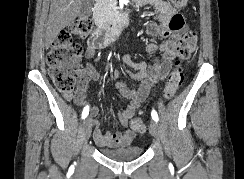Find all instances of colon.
<instances>
[{"instance_id": "5ec220e1", "label": "colon", "mask_w": 244, "mask_h": 179, "mask_svg": "<svg viewBox=\"0 0 244 179\" xmlns=\"http://www.w3.org/2000/svg\"><path fill=\"white\" fill-rule=\"evenodd\" d=\"M177 3L178 8L185 6L184 0H171ZM93 29V22L89 19H81L70 26V30L81 35H88ZM68 30L62 31L54 40L48 55L47 63L48 72L54 82L57 90L70 94L76 89L77 78L76 72L80 67V56L82 48L80 45L71 41L72 32ZM198 45V36L195 32L189 31L185 33L178 43V56L181 59H189L195 52ZM184 79L182 67L174 68L167 79L164 88V98L171 99L177 90L181 87ZM132 130L143 133L146 131V125L143 120L135 118L130 122Z\"/></svg>"}]
</instances>
